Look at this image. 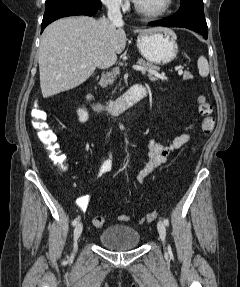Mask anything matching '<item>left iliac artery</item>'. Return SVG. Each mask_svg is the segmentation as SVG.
I'll use <instances>...</instances> for the list:
<instances>
[{"label":"left iliac artery","mask_w":240,"mask_h":287,"mask_svg":"<svg viewBox=\"0 0 240 287\" xmlns=\"http://www.w3.org/2000/svg\"><path fill=\"white\" fill-rule=\"evenodd\" d=\"M164 224H165L166 226H168V225H169V221H168V219H164Z\"/></svg>","instance_id":"44dca946"}]
</instances>
